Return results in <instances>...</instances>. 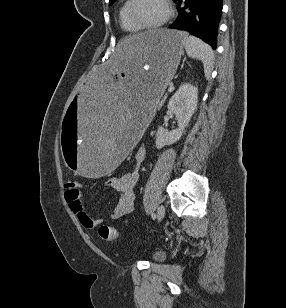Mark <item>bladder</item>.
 Returning a JSON list of instances; mask_svg holds the SVG:
<instances>
[{"label":"bladder","mask_w":286,"mask_h":308,"mask_svg":"<svg viewBox=\"0 0 286 308\" xmlns=\"http://www.w3.org/2000/svg\"><path fill=\"white\" fill-rule=\"evenodd\" d=\"M165 258V252L163 250H156L152 253V259L154 261H161Z\"/></svg>","instance_id":"bladder-1"}]
</instances>
